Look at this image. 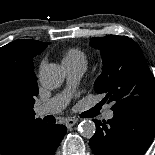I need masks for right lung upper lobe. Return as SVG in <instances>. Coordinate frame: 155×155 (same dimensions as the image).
Here are the masks:
<instances>
[{
  "instance_id": "1",
  "label": "right lung upper lobe",
  "mask_w": 155,
  "mask_h": 155,
  "mask_svg": "<svg viewBox=\"0 0 155 155\" xmlns=\"http://www.w3.org/2000/svg\"><path fill=\"white\" fill-rule=\"evenodd\" d=\"M50 43L37 40H17L0 48V86L22 90L37 78L31 73L32 59L40 54ZM38 88V86H37ZM38 93V91H37ZM35 100L27 93H20L16 106L20 116V126L13 135H0V154L15 155L21 152L22 141L35 127L44 122L35 119L33 110Z\"/></svg>"
}]
</instances>
